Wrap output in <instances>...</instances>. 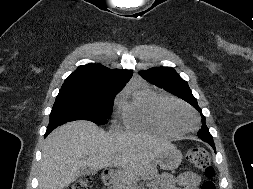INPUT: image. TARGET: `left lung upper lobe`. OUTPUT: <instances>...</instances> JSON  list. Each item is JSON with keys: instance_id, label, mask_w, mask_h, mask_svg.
<instances>
[{"instance_id": "left-lung-upper-lobe-1", "label": "left lung upper lobe", "mask_w": 253, "mask_h": 189, "mask_svg": "<svg viewBox=\"0 0 253 189\" xmlns=\"http://www.w3.org/2000/svg\"><path fill=\"white\" fill-rule=\"evenodd\" d=\"M139 74L141 75L142 78H144L148 82L180 97L181 99L190 103L193 107H195L198 111L201 112L197 100L192 95L188 83L184 81L173 68L170 67L151 68L146 71H140ZM202 121H203L202 129L198 133H202L205 136L210 137L211 134L209 133V130L205 124V117L203 115Z\"/></svg>"}]
</instances>
